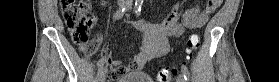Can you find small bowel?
Listing matches in <instances>:
<instances>
[{"mask_svg": "<svg viewBox=\"0 0 279 82\" xmlns=\"http://www.w3.org/2000/svg\"><path fill=\"white\" fill-rule=\"evenodd\" d=\"M180 5V1L176 2L169 10L164 21L159 25H150L141 21L131 23L135 30L143 34V40L139 53L130 58L127 63L114 59L111 56L109 45L102 46L100 61L105 65L111 78L117 79L128 72L142 70L150 60L161 57L169 51L171 39L181 36L188 28L205 25L208 16L216 9L208 3L203 8L191 6L185 10L179 22ZM133 35L136 36L135 31ZM101 43L102 36H99L90 44L93 48L92 53L96 46Z\"/></svg>", "mask_w": 279, "mask_h": 82, "instance_id": "obj_1", "label": "small bowel"}]
</instances>
